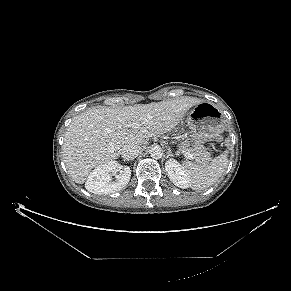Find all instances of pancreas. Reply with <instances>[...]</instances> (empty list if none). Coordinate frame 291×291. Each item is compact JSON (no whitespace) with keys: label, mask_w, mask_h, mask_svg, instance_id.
Masks as SVG:
<instances>
[{"label":"pancreas","mask_w":291,"mask_h":291,"mask_svg":"<svg viewBox=\"0 0 291 291\" xmlns=\"http://www.w3.org/2000/svg\"><path fill=\"white\" fill-rule=\"evenodd\" d=\"M179 151L191 153L195 161L201 165H206L211 160V154L199 142L190 146V143L186 140L179 146Z\"/></svg>","instance_id":"1"}]
</instances>
